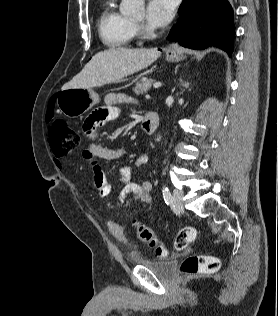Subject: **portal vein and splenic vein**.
Here are the masks:
<instances>
[{"instance_id": "obj_1", "label": "portal vein and splenic vein", "mask_w": 278, "mask_h": 316, "mask_svg": "<svg viewBox=\"0 0 278 316\" xmlns=\"http://www.w3.org/2000/svg\"><path fill=\"white\" fill-rule=\"evenodd\" d=\"M161 86H162V83H161V82H156V83L153 84V87H154V88H159V87H161Z\"/></svg>"}]
</instances>
